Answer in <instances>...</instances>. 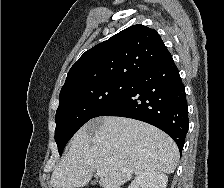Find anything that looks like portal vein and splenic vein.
Segmentation results:
<instances>
[{
	"instance_id": "18ae733b",
	"label": "portal vein and splenic vein",
	"mask_w": 224,
	"mask_h": 188,
	"mask_svg": "<svg viewBox=\"0 0 224 188\" xmlns=\"http://www.w3.org/2000/svg\"><path fill=\"white\" fill-rule=\"evenodd\" d=\"M97 175L100 176V177L103 176V171L102 170H97Z\"/></svg>"
}]
</instances>
